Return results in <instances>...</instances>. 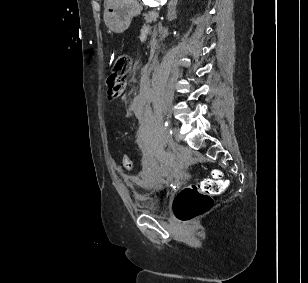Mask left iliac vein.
Returning <instances> with one entry per match:
<instances>
[{"label": "left iliac vein", "mask_w": 308, "mask_h": 283, "mask_svg": "<svg viewBox=\"0 0 308 283\" xmlns=\"http://www.w3.org/2000/svg\"><path fill=\"white\" fill-rule=\"evenodd\" d=\"M172 133H173V137L169 136V138H168L169 144H173L174 141H176V142L180 141L178 128H176V127L173 128Z\"/></svg>", "instance_id": "left-iliac-vein-1"}]
</instances>
